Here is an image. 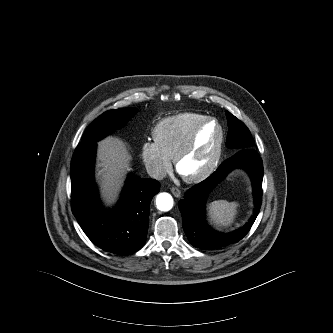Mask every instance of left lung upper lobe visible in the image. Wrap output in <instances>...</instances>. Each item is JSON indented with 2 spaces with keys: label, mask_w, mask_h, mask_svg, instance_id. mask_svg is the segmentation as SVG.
<instances>
[{
  "label": "left lung upper lobe",
  "mask_w": 333,
  "mask_h": 333,
  "mask_svg": "<svg viewBox=\"0 0 333 333\" xmlns=\"http://www.w3.org/2000/svg\"><path fill=\"white\" fill-rule=\"evenodd\" d=\"M229 131L226 145L236 150L253 148L254 140L249 129L238 118L226 111Z\"/></svg>",
  "instance_id": "obj_1"
}]
</instances>
